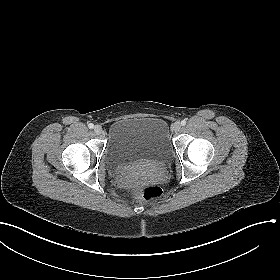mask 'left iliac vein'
I'll use <instances>...</instances> for the list:
<instances>
[{
	"mask_svg": "<svg viewBox=\"0 0 280 280\" xmlns=\"http://www.w3.org/2000/svg\"><path fill=\"white\" fill-rule=\"evenodd\" d=\"M172 129L174 132H179L181 129V123L179 121H176L175 123H173Z\"/></svg>",
	"mask_w": 280,
	"mask_h": 280,
	"instance_id": "4c4485c4",
	"label": "left iliac vein"
}]
</instances>
